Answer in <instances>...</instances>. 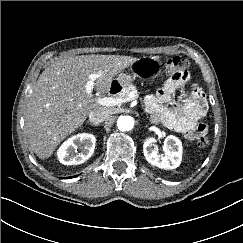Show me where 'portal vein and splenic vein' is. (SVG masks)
<instances>
[{
  "mask_svg": "<svg viewBox=\"0 0 243 243\" xmlns=\"http://www.w3.org/2000/svg\"><path fill=\"white\" fill-rule=\"evenodd\" d=\"M99 77V74H90L89 75V80L87 81L86 85H85V89H86V93L88 95H90L92 93V90L94 88V82L95 80ZM135 98H137V93L136 92H131L127 98H125L124 100L119 99V98H113V97H98L96 99V102L102 106H107V107H111V106H117V105H121L124 102H129L131 100H134Z\"/></svg>",
  "mask_w": 243,
  "mask_h": 243,
  "instance_id": "1",
  "label": "portal vein and splenic vein"
}]
</instances>
